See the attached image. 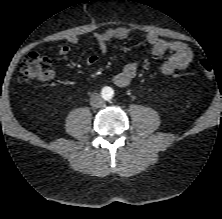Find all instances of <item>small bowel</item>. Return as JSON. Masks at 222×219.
Returning <instances> with one entry per match:
<instances>
[{"instance_id": "obj_1", "label": "small bowel", "mask_w": 222, "mask_h": 219, "mask_svg": "<svg viewBox=\"0 0 222 219\" xmlns=\"http://www.w3.org/2000/svg\"><path fill=\"white\" fill-rule=\"evenodd\" d=\"M131 31L125 27H117L106 29L93 34V39L96 42L100 52H105L108 43L112 40H124L130 37ZM147 43L151 48V52L155 56L168 54V57L161 65V71L165 75L173 74L176 71L185 69L193 59L191 49L184 43L179 41L164 40L155 33H149L146 37ZM78 43L75 36H70L67 39V44L62 45L58 49V53L62 56L69 54L71 47ZM98 62V55L91 53L86 58V66L92 68ZM139 61L129 62L113 76V82L116 86L127 87L137 74L139 69ZM53 77H50V79ZM145 90V87H141Z\"/></svg>"}]
</instances>
